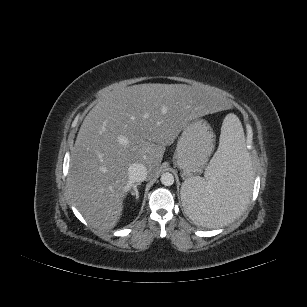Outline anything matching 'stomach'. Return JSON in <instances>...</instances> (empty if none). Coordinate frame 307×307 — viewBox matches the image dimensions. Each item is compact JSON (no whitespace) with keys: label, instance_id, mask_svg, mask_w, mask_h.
I'll return each instance as SVG.
<instances>
[{"label":"stomach","instance_id":"stomach-1","mask_svg":"<svg viewBox=\"0 0 307 307\" xmlns=\"http://www.w3.org/2000/svg\"><path fill=\"white\" fill-rule=\"evenodd\" d=\"M211 126L204 119L196 118L187 123L178 139L173 163L184 178L195 176L206 167L214 148Z\"/></svg>","mask_w":307,"mask_h":307}]
</instances>
